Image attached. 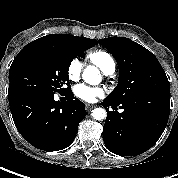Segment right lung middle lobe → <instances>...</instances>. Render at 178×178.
Returning <instances> with one entry per match:
<instances>
[{
	"instance_id": "right-lung-middle-lobe-1",
	"label": "right lung middle lobe",
	"mask_w": 178,
	"mask_h": 178,
	"mask_svg": "<svg viewBox=\"0 0 178 178\" xmlns=\"http://www.w3.org/2000/svg\"><path fill=\"white\" fill-rule=\"evenodd\" d=\"M92 45L83 42L35 40L15 57L9 70L8 94L34 92L55 94L70 90L68 81L71 61Z\"/></svg>"
}]
</instances>
